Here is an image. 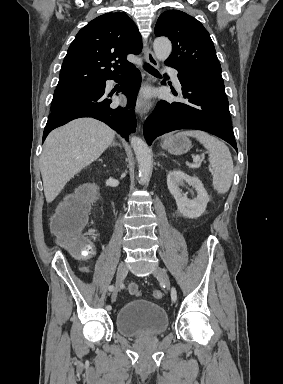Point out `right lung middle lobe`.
Segmentation results:
<instances>
[{"label": "right lung middle lobe", "instance_id": "obj_1", "mask_svg": "<svg viewBox=\"0 0 283 384\" xmlns=\"http://www.w3.org/2000/svg\"><path fill=\"white\" fill-rule=\"evenodd\" d=\"M94 91V86L55 90L51 110H56L66 105L79 101Z\"/></svg>", "mask_w": 283, "mask_h": 384}]
</instances>
